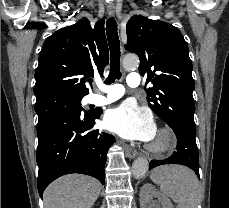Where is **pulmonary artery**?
<instances>
[{"instance_id": "1", "label": "pulmonary artery", "mask_w": 229, "mask_h": 208, "mask_svg": "<svg viewBox=\"0 0 229 208\" xmlns=\"http://www.w3.org/2000/svg\"><path fill=\"white\" fill-rule=\"evenodd\" d=\"M141 79L139 73L132 72L126 76V83L129 87H138L141 83ZM97 86L102 93L91 94L89 101L98 106L106 105L124 94L123 86L119 84L108 86L98 81Z\"/></svg>"}]
</instances>
